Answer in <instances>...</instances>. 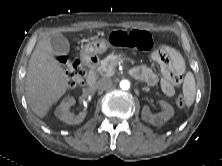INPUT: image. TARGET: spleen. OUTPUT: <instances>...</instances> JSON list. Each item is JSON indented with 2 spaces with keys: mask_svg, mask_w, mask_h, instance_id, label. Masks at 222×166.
I'll list each match as a JSON object with an SVG mask.
<instances>
[{
  "mask_svg": "<svg viewBox=\"0 0 222 166\" xmlns=\"http://www.w3.org/2000/svg\"><path fill=\"white\" fill-rule=\"evenodd\" d=\"M182 89L185 105L190 107L194 103L196 95V83L192 72L189 71L186 73Z\"/></svg>",
  "mask_w": 222,
  "mask_h": 166,
  "instance_id": "spleen-1",
  "label": "spleen"
}]
</instances>
